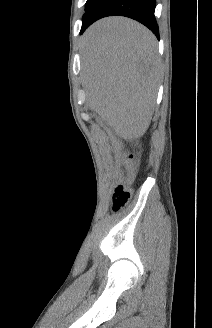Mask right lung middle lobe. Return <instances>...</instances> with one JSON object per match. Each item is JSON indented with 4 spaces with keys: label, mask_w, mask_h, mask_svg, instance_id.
Instances as JSON below:
<instances>
[{
    "label": "right lung middle lobe",
    "mask_w": 212,
    "mask_h": 328,
    "mask_svg": "<svg viewBox=\"0 0 212 328\" xmlns=\"http://www.w3.org/2000/svg\"><path fill=\"white\" fill-rule=\"evenodd\" d=\"M97 0H87L86 5H85V14L83 15V19L85 18L87 12L89 11V9L92 7V5L96 2Z\"/></svg>",
    "instance_id": "obj_1"
}]
</instances>
